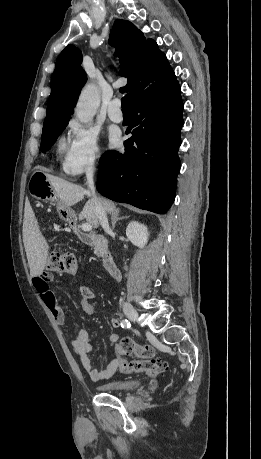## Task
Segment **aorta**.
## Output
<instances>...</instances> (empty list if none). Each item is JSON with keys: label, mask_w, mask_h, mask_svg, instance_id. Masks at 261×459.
I'll list each match as a JSON object with an SVG mask.
<instances>
[{"label": "aorta", "mask_w": 261, "mask_h": 459, "mask_svg": "<svg viewBox=\"0 0 261 459\" xmlns=\"http://www.w3.org/2000/svg\"><path fill=\"white\" fill-rule=\"evenodd\" d=\"M100 104V96L98 89L94 84L87 85L81 92L77 105L75 107V115L81 123H88L96 114Z\"/></svg>", "instance_id": "1"}]
</instances>
